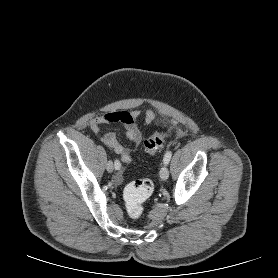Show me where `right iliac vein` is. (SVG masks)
Instances as JSON below:
<instances>
[{"instance_id":"right-iliac-vein-1","label":"right iliac vein","mask_w":278,"mask_h":278,"mask_svg":"<svg viewBox=\"0 0 278 278\" xmlns=\"http://www.w3.org/2000/svg\"><path fill=\"white\" fill-rule=\"evenodd\" d=\"M106 169H107L108 172L113 171V163L111 161L107 162Z\"/></svg>"}]
</instances>
